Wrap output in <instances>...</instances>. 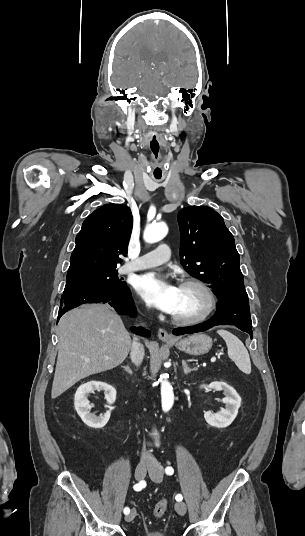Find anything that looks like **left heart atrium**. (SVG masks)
<instances>
[{
	"mask_svg": "<svg viewBox=\"0 0 305 536\" xmlns=\"http://www.w3.org/2000/svg\"><path fill=\"white\" fill-rule=\"evenodd\" d=\"M136 291L158 309L172 313L178 301L179 286L168 275L147 273L138 278Z\"/></svg>",
	"mask_w": 305,
	"mask_h": 536,
	"instance_id": "1",
	"label": "left heart atrium"
}]
</instances>
